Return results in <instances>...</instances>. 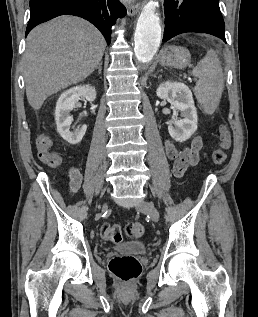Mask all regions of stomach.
<instances>
[{"mask_svg":"<svg viewBox=\"0 0 258 317\" xmlns=\"http://www.w3.org/2000/svg\"><path fill=\"white\" fill-rule=\"evenodd\" d=\"M190 58L191 54L184 46H166L159 54L160 64L174 68H185L190 64Z\"/></svg>","mask_w":258,"mask_h":317,"instance_id":"obj_1","label":"stomach"}]
</instances>
